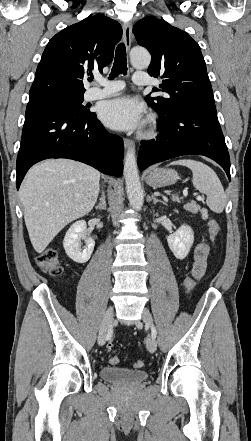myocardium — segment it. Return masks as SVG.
<instances>
[{
  "label": "myocardium",
  "mask_w": 251,
  "mask_h": 441,
  "mask_svg": "<svg viewBox=\"0 0 251 441\" xmlns=\"http://www.w3.org/2000/svg\"><path fill=\"white\" fill-rule=\"evenodd\" d=\"M155 130H156V121H155V118L153 116H151L148 120V127L144 131L143 135L144 136H152L155 133Z\"/></svg>",
  "instance_id": "f54148a6"
}]
</instances>
